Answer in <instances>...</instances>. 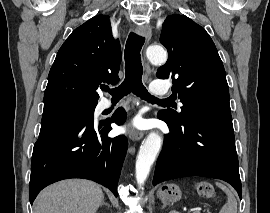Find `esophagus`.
Segmentation results:
<instances>
[{
	"label": "esophagus",
	"instance_id": "esophagus-1",
	"mask_svg": "<svg viewBox=\"0 0 270 213\" xmlns=\"http://www.w3.org/2000/svg\"><path fill=\"white\" fill-rule=\"evenodd\" d=\"M136 31L139 35L146 38V42H148L152 36L151 27L147 24L137 26ZM144 65H145V68H148V65L146 63H144ZM143 135H144L143 131H137L134 129H131L129 131V138L132 141H139L140 139H142Z\"/></svg>",
	"mask_w": 270,
	"mask_h": 213
}]
</instances>
